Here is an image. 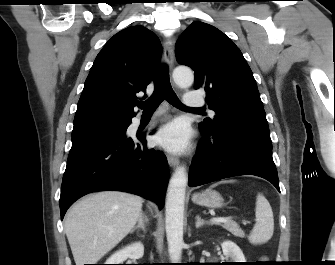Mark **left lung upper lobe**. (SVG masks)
Returning <instances> with one entry per match:
<instances>
[{
    "label": "left lung upper lobe",
    "mask_w": 335,
    "mask_h": 265,
    "mask_svg": "<svg viewBox=\"0 0 335 265\" xmlns=\"http://www.w3.org/2000/svg\"><path fill=\"white\" fill-rule=\"evenodd\" d=\"M176 57L194 70V88L205 89L207 104L216 113L199 124L200 131H234L271 140L253 73L229 37L212 25L193 22L177 40Z\"/></svg>",
    "instance_id": "5c2ea615"
}]
</instances>
